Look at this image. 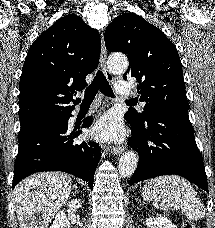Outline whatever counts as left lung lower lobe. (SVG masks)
<instances>
[{"label":"left lung lower lobe","instance_id":"1","mask_svg":"<svg viewBox=\"0 0 215 228\" xmlns=\"http://www.w3.org/2000/svg\"><path fill=\"white\" fill-rule=\"evenodd\" d=\"M131 131L128 144L138 152L139 162L130 185L161 175L176 174L208 192L204 163L188 111L153 112L145 123L131 124Z\"/></svg>","mask_w":215,"mask_h":228}]
</instances>
